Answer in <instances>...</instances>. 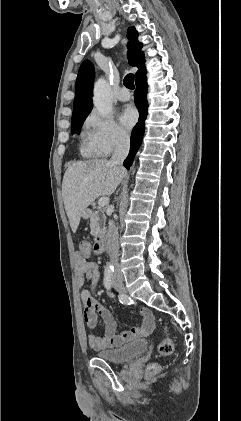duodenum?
Returning a JSON list of instances; mask_svg holds the SVG:
<instances>
[{
	"instance_id": "410a0bca",
	"label": "duodenum",
	"mask_w": 241,
	"mask_h": 421,
	"mask_svg": "<svg viewBox=\"0 0 241 421\" xmlns=\"http://www.w3.org/2000/svg\"><path fill=\"white\" fill-rule=\"evenodd\" d=\"M87 215L91 214V211H86ZM92 247L96 248V254L97 255H102L105 250H106V242H105V238L102 235H97L94 238Z\"/></svg>"
}]
</instances>
